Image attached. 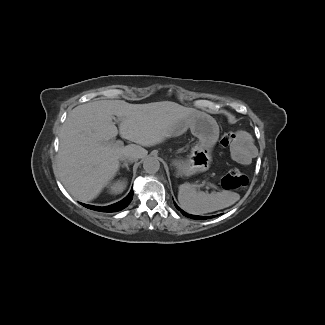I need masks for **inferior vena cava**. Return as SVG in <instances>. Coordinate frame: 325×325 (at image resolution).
I'll list each match as a JSON object with an SVG mask.
<instances>
[{
	"instance_id": "inferior-vena-cava-1",
	"label": "inferior vena cava",
	"mask_w": 325,
	"mask_h": 325,
	"mask_svg": "<svg viewBox=\"0 0 325 325\" xmlns=\"http://www.w3.org/2000/svg\"><path fill=\"white\" fill-rule=\"evenodd\" d=\"M139 158V154L134 151H126L123 155L120 156L121 161L125 162H135Z\"/></svg>"
}]
</instances>
